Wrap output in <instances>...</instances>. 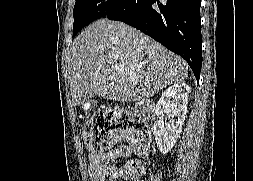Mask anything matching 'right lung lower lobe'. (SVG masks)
Listing matches in <instances>:
<instances>
[{
  "instance_id": "98d812e1",
  "label": "right lung lower lobe",
  "mask_w": 253,
  "mask_h": 181,
  "mask_svg": "<svg viewBox=\"0 0 253 181\" xmlns=\"http://www.w3.org/2000/svg\"><path fill=\"white\" fill-rule=\"evenodd\" d=\"M200 0H127L110 20L125 22L184 58L199 81Z\"/></svg>"
}]
</instances>
